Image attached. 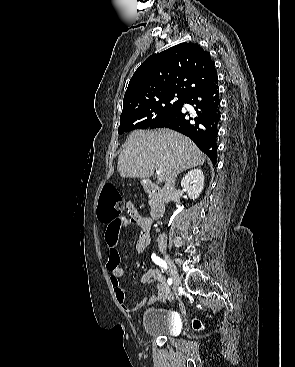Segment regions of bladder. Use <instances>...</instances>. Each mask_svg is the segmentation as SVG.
<instances>
[{"mask_svg":"<svg viewBox=\"0 0 295 367\" xmlns=\"http://www.w3.org/2000/svg\"><path fill=\"white\" fill-rule=\"evenodd\" d=\"M143 330L148 336H172L178 328L176 314L158 306H150L143 313Z\"/></svg>","mask_w":295,"mask_h":367,"instance_id":"1","label":"bladder"}]
</instances>
